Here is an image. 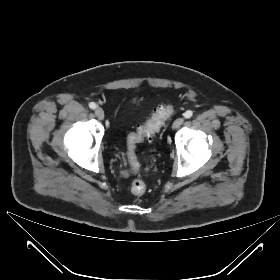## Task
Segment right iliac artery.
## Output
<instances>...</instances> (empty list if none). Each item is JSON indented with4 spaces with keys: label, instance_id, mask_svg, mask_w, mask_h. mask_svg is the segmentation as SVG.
<instances>
[{
    "label": "right iliac artery",
    "instance_id": "1",
    "mask_svg": "<svg viewBox=\"0 0 280 280\" xmlns=\"http://www.w3.org/2000/svg\"><path fill=\"white\" fill-rule=\"evenodd\" d=\"M89 107H90L91 109H95V108H96V104H95L94 102H91V103L89 104Z\"/></svg>",
    "mask_w": 280,
    "mask_h": 280
}]
</instances>
